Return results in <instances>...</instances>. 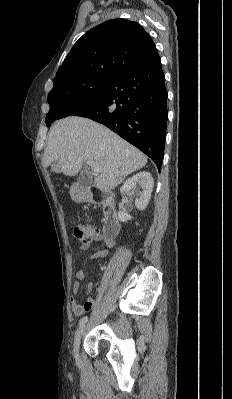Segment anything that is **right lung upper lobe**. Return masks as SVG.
I'll return each mask as SVG.
<instances>
[{
  "label": "right lung upper lobe",
  "instance_id": "1",
  "mask_svg": "<svg viewBox=\"0 0 232 399\" xmlns=\"http://www.w3.org/2000/svg\"><path fill=\"white\" fill-rule=\"evenodd\" d=\"M156 46L137 23L126 19L106 21L85 33L60 66L49 95L87 79L111 78L153 53Z\"/></svg>",
  "mask_w": 232,
  "mask_h": 399
}]
</instances>
